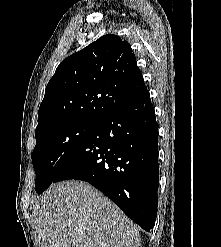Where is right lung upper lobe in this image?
<instances>
[{
  "instance_id": "obj_1",
  "label": "right lung upper lobe",
  "mask_w": 221,
  "mask_h": 247,
  "mask_svg": "<svg viewBox=\"0 0 221 247\" xmlns=\"http://www.w3.org/2000/svg\"><path fill=\"white\" fill-rule=\"evenodd\" d=\"M145 91L129 43L102 36L57 67L39 107L35 135L70 122L98 124Z\"/></svg>"
}]
</instances>
